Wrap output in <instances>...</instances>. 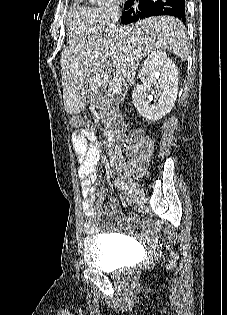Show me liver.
<instances>
[{
    "instance_id": "liver-1",
    "label": "liver",
    "mask_w": 227,
    "mask_h": 315,
    "mask_svg": "<svg viewBox=\"0 0 227 315\" xmlns=\"http://www.w3.org/2000/svg\"><path fill=\"white\" fill-rule=\"evenodd\" d=\"M157 49L187 59L185 27L179 19L150 17L64 49L60 63L66 112L79 114L85 109L86 85L92 76L101 78L102 84L116 68V72H124L128 85H133L140 60Z\"/></svg>"
}]
</instances>
